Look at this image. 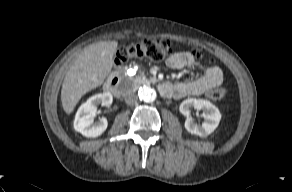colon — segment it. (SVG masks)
<instances>
[{
  "mask_svg": "<svg viewBox=\"0 0 292 192\" xmlns=\"http://www.w3.org/2000/svg\"><path fill=\"white\" fill-rule=\"evenodd\" d=\"M171 52V44L165 39H144L138 43L121 48L116 55V66H120L128 59H148L154 62L164 60ZM195 60L203 59L200 50L191 52ZM205 95L214 102H221L226 96V89L217 85L208 89Z\"/></svg>",
  "mask_w": 292,
  "mask_h": 192,
  "instance_id": "5ec220e1",
  "label": "colon"
}]
</instances>
